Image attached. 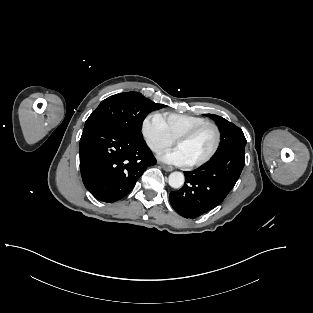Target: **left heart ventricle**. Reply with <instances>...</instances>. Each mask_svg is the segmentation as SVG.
I'll return each instance as SVG.
<instances>
[{
    "mask_svg": "<svg viewBox=\"0 0 313 313\" xmlns=\"http://www.w3.org/2000/svg\"><path fill=\"white\" fill-rule=\"evenodd\" d=\"M215 144V132L211 127L203 129L195 137L176 145L187 156L190 163L196 162L209 154Z\"/></svg>",
    "mask_w": 313,
    "mask_h": 313,
    "instance_id": "b2bd125f",
    "label": "left heart ventricle"
}]
</instances>
